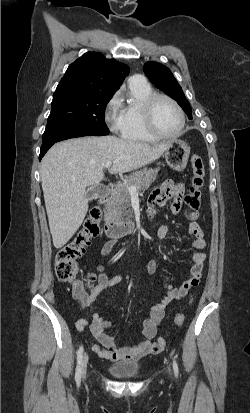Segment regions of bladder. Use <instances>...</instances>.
<instances>
[{"instance_id": "obj_1", "label": "bladder", "mask_w": 250, "mask_h": 413, "mask_svg": "<svg viewBox=\"0 0 250 413\" xmlns=\"http://www.w3.org/2000/svg\"><path fill=\"white\" fill-rule=\"evenodd\" d=\"M109 373L120 379L137 378L140 374V366L133 362L114 363L108 366Z\"/></svg>"}]
</instances>
